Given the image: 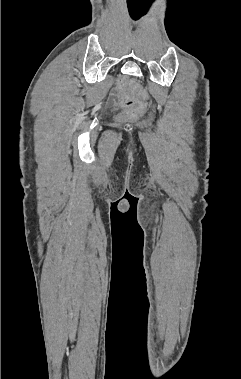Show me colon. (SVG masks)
<instances>
[{"mask_svg":"<svg viewBox=\"0 0 241 379\" xmlns=\"http://www.w3.org/2000/svg\"><path fill=\"white\" fill-rule=\"evenodd\" d=\"M122 85L123 82H120L119 87ZM119 100L121 104L127 109L122 115V118L125 120L136 119L145 109V98L133 99L126 95L124 92L119 91Z\"/></svg>","mask_w":241,"mask_h":379,"instance_id":"1","label":"colon"}]
</instances>
